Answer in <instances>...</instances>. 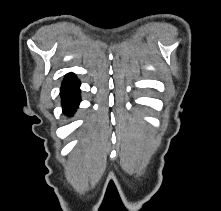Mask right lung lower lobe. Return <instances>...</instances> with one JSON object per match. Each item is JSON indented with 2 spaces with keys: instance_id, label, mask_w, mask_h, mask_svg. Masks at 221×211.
I'll return each instance as SVG.
<instances>
[{
  "instance_id": "98d812e1",
  "label": "right lung lower lobe",
  "mask_w": 221,
  "mask_h": 211,
  "mask_svg": "<svg viewBox=\"0 0 221 211\" xmlns=\"http://www.w3.org/2000/svg\"><path fill=\"white\" fill-rule=\"evenodd\" d=\"M79 87L80 82L75 74L69 73L65 76L61 85L60 96L62 99L63 113L67 116L72 115L79 106L81 100Z\"/></svg>"
}]
</instances>
